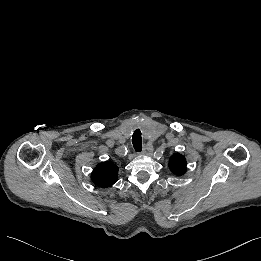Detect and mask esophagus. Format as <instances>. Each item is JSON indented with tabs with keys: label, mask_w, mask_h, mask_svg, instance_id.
<instances>
[{
	"label": "esophagus",
	"mask_w": 261,
	"mask_h": 261,
	"mask_svg": "<svg viewBox=\"0 0 261 261\" xmlns=\"http://www.w3.org/2000/svg\"><path fill=\"white\" fill-rule=\"evenodd\" d=\"M141 154H143V155L146 154V149L145 148L142 150Z\"/></svg>",
	"instance_id": "34e87169"
}]
</instances>
